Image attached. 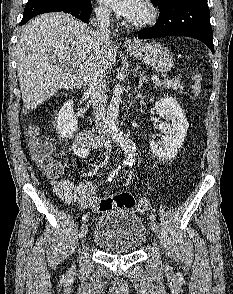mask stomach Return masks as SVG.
Returning <instances> with one entry per match:
<instances>
[{"mask_svg": "<svg viewBox=\"0 0 233 294\" xmlns=\"http://www.w3.org/2000/svg\"><path fill=\"white\" fill-rule=\"evenodd\" d=\"M128 50L135 58L161 73L168 72L174 65L172 53L158 43H145Z\"/></svg>", "mask_w": 233, "mask_h": 294, "instance_id": "obj_1", "label": "stomach"}]
</instances>
